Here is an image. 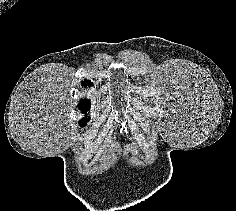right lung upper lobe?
Wrapping results in <instances>:
<instances>
[{
	"instance_id": "obj_1",
	"label": "right lung upper lobe",
	"mask_w": 236,
	"mask_h": 211,
	"mask_svg": "<svg viewBox=\"0 0 236 211\" xmlns=\"http://www.w3.org/2000/svg\"><path fill=\"white\" fill-rule=\"evenodd\" d=\"M87 84L92 85V83L89 82V81H87ZM88 107H89V101H87V100H82L81 103H80V109H81L82 111H84V110H85L86 108H88Z\"/></svg>"
}]
</instances>
